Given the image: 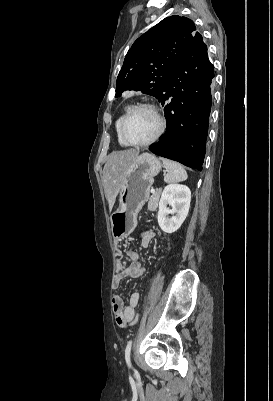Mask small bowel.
<instances>
[{
  "label": "small bowel",
  "mask_w": 273,
  "mask_h": 401,
  "mask_svg": "<svg viewBox=\"0 0 273 401\" xmlns=\"http://www.w3.org/2000/svg\"><path fill=\"white\" fill-rule=\"evenodd\" d=\"M154 234L150 231H147L142 238V246L147 248L152 240ZM116 263L115 269L116 274L113 281L114 288H119L122 281L126 278H138L144 275L145 268L143 264L140 262L139 254L134 250H123L120 248L116 249L115 252ZM126 261L129 262L126 265ZM140 301V293L135 291L130 294L129 301L127 305H124L123 299L120 295H115L113 297L112 305L113 311L116 318V323L119 327H127L129 325H133L137 323L139 319V315L136 311L138 303Z\"/></svg>",
  "instance_id": "c3829d8e"
}]
</instances>
